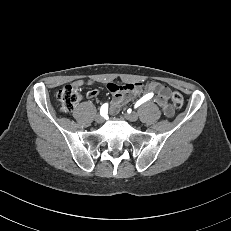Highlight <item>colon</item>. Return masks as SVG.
Masks as SVG:
<instances>
[{
  "mask_svg": "<svg viewBox=\"0 0 231 231\" xmlns=\"http://www.w3.org/2000/svg\"><path fill=\"white\" fill-rule=\"evenodd\" d=\"M57 99L59 101L61 111L70 112L83 99V93L77 86L66 85L58 91ZM171 100L176 108H181L184 104V98L179 92H173Z\"/></svg>",
  "mask_w": 231,
  "mask_h": 231,
  "instance_id": "5ec220e1",
  "label": "colon"
}]
</instances>
